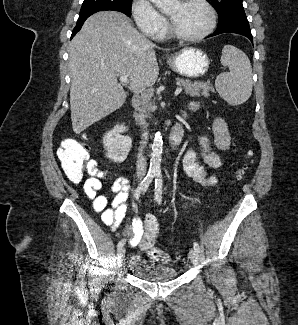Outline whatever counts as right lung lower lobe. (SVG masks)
I'll return each instance as SVG.
<instances>
[{
  "instance_id": "98d812e1",
  "label": "right lung lower lobe",
  "mask_w": 298,
  "mask_h": 325,
  "mask_svg": "<svg viewBox=\"0 0 298 325\" xmlns=\"http://www.w3.org/2000/svg\"><path fill=\"white\" fill-rule=\"evenodd\" d=\"M85 20L86 19H84V20L78 19L77 24H76V26H75V28H74V30L72 32V37L81 29V27H82L83 23L85 22Z\"/></svg>"
}]
</instances>
